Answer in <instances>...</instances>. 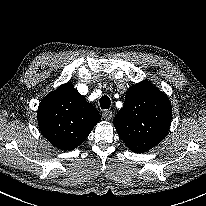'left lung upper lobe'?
Returning <instances> with one entry per match:
<instances>
[{
	"label": "left lung upper lobe",
	"instance_id": "left-lung-upper-lobe-1",
	"mask_svg": "<svg viewBox=\"0 0 206 206\" xmlns=\"http://www.w3.org/2000/svg\"><path fill=\"white\" fill-rule=\"evenodd\" d=\"M171 119L168 97L145 80L129 88L124 106L114 117L113 124L131 151L143 153L167 135Z\"/></svg>",
	"mask_w": 206,
	"mask_h": 206
}]
</instances>
